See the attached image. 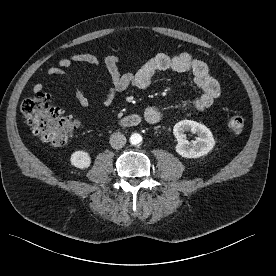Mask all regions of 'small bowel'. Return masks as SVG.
Here are the masks:
<instances>
[{"mask_svg": "<svg viewBox=\"0 0 276 276\" xmlns=\"http://www.w3.org/2000/svg\"><path fill=\"white\" fill-rule=\"evenodd\" d=\"M73 63L99 65L100 60L96 55L91 53H76L69 58H61L57 66L48 68L47 74L67 78V71L72 67ZM104 65L111 79V84L108 86L101 101L104 106L110 105L117 93L123 92L130 87L140 90L147 89L151 85L156 73L168 70L177 73H190L193 83L202 92L198 98L183 106L185 110L204 111L211 107L220 95V85L210 75L207 64L185 52L174 56L159 53L141 64L132 73H121L119 58L114 55L107 56L104 59ZM74 89L79 104L82 107H88L89 100L78 83L74 84ZM33 91L34 93L45 91L44 84L36 83L33 86ZM144 118L148 123H157L161 119V111L155 106H148L144 111Z\"/></svg>", "mask_w": 276, "mask_h": 276, "instance_id": "small-bowel-1", "label": "small bowel"}]
</instances>
